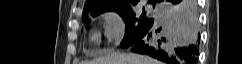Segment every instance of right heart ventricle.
Instances as JSON below:
<instances>
[{
  "mask_svg": "<svg viewBox=\"0 0 242 64\" xmlns=\"http://www.w3.org/2000/svg\"><path fill=\"white\" fill-rule=\"evenodd\" d=\"M92 38H93V39H95V36H94V35H92Z\"/></svg>",
  "mask_w": 242,
  "mask_h": 64,
  "instance_id": "e07e8e85",
  "label": "right heart ventricle"
}]
</instances>
